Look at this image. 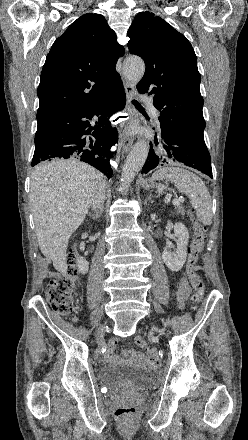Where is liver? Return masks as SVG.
I'll use <instances>...</instances> for the list:
<instances>
[{
    "label": "liver",
    "instance_id": "liver-1",
    "mask_svg": "<svg viewBox=\"0 0 248 440\" xmlns=\"http://www.w3.org/2000/svg\"><path fill=\"white\" fill-rule=\"evenodd\" d=\"M102 184L104 175L76 158L43 162L32 172L30 205L38 245L61 274L67 272L69 238L84 221Z\"/></svg>",
    "mask_w": 248,
    "mask_h": 440
}]
</instances>
